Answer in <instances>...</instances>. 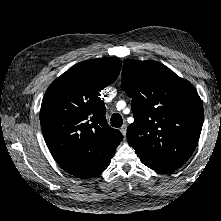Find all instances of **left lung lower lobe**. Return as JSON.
I'll use <instances>...</instances> for the list:
<instances>
[{
	"mask_svg": "<svg viewBox=\"0 0 221 221\" xmlns=\"http://www.w3.org/2000/svg\"><path fill=\"white\" fill-rule=\"evenodd\" d=\"M140 160L144 165L159 173H168L178 168L177 166L146 157H140Z\"/></svg>",
	"mask_w": 221,
	"mask_h": 221,
	"instance_id": "0a47b994",
	"label": "left lung lower lobe"
}]
</instances>
